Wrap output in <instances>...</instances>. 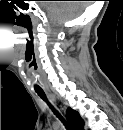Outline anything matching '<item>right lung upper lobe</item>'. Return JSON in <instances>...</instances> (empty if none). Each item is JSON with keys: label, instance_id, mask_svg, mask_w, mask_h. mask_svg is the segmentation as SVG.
<instances>
[{"label": "right lung upper lobe", "instance_id": "obj_1", "mask_svg": "<svg viewBox=\"0 0 123 130\" xmlns=\"http://www.w3.org/2000/svg\"><path fill=\"white\" fill-rule=\"evenodd\" d=\"M66 118L74 130L84 129V121L77 111L69 107L66 112Z\"/></svg>", "mask_w": 123, "mask_h": 130}]
</instances>
